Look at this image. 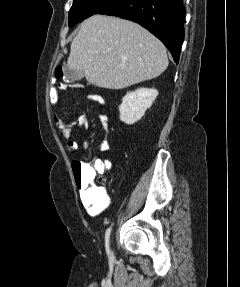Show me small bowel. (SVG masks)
<instances>
[{"label":"small bowel","instance_id":"small-bowel-1","mask_svg":"<svg viewBox=\"0 0 240 287\" xmlns=\"http://www.w3.org/2000/svg\"><path fill=\"white\" fill-rule=\"evenodd\" d=\"M87 98L90 101L99 103L101 105H105V98L102 95L90 94L88 95ZM99 121L105 131V136L99 144V151L106 152L110 148V144L107 138L108 118L106 115L101 114L99 115ZM54 123L61 135V138L65 142V147H66L67 152L68 153L75 152L77 150V143L71 140V128L78 127L84 130H88L89 122H88L87 115L85 113H82L78 115L75 121L71 123L66 122L64 117H60L58 120H55ZM82 146L85 150L90 149V144L85 139L82 142ZM96 163L100 164L103 162L100 160H97ZM80 199H81L83 206L87 210L88 214L91 216L99 215L109 205V198L105 194H103L98 188H92L89 194H84L80 191Z\"/></svg>","mask_w":240,"mask_h":287}]
</instances>
